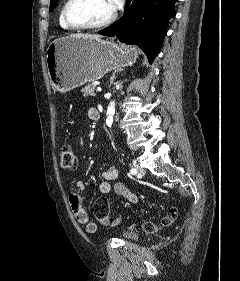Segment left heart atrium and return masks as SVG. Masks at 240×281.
Here are the masks:
<instances>
[{"label": "left heart atrium", "mask_w": 240, "mask_h": 281, "mask_svg": "<svg viewBox=\"0 0 240 281\" xmlns=\"http://www.w3.org/2000/svg\"><path fill=\"white\" fill-rule=\"evenodd\" d=\"M123 0H110L114 9H117L121 6Z\"/></svg>", "instance_id": "obj_1"}]
</instances>
